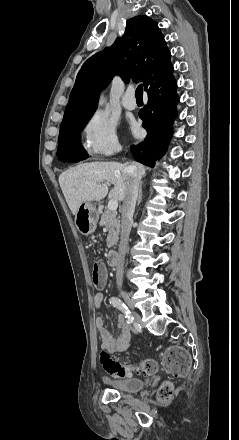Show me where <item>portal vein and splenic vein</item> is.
Here are the masks:
<instances>
[{
    "label": "portal vein and splenic vein",
    "instance_id": "obj_1",
    "mask_svg": "<svg viewBox=\"0 0 239 440\" xmlns=\"http://www.w3.org/2000/svg\"><path fill=\"white\" fill-rule=\"evenodd\" d=\"M117 208H118L117 200H110V202H108V210H112V212H115Z\"/></svg>",
    "mask_w": 239,
    "mask_h": 440
}]
</instances>
